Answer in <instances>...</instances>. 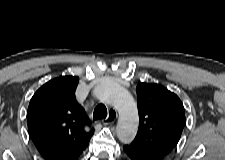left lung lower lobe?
I'll return each instance as SVG.
<instances>
[{
    "label": "left lung lower lobe",
    "mask_w": 225,
    "mask_h": 160,
    "mask_svg": "<svg viewBox=\"0 0 225 160\" xmlns=\"http://www.w3.org/2000/svg\"><path fill=\"white\" fill-rule=\"evenodd\" d=\"M123 151L128 160H149L148 158L130 149L127 145L124 146Z\"/></svg>",
    "instance_id": "1"
}]
</instances>
